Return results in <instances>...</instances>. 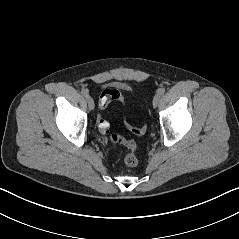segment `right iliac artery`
Returning a JSON list of instances; mask_svg holds the SVG:
<instances>
[{
    "label": "right iliac artery",
    "instance_id": "right-iliac-artery-1",
    "mask_svg": "<svg viewBox=\"0 0 239 239\" xmlns=\"http://www.w3.org/2000/svg\"><path fill=\"white\" fill-rule=\"evenodd\" d=\"M81 93H82L85 97L89 96V92H88L87 89H83V90L81 91Z\"/></svg>",
    "mask_w": 239,
    "mask_h": 239
}]
</instances>
